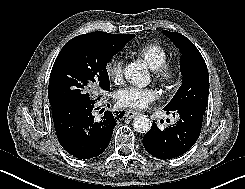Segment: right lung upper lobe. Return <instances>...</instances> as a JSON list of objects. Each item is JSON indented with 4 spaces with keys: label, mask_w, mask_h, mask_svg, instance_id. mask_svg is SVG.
Instances as JSON below:
<instances>
[{
    "label": "right lung upper lobe",
    "mask_w": 245,
    "mask_h": 189,
    "mask_svg": "<svg viewBox=\"0 0 245 189\" xmlns=\"http://www.w3.org/2000/svg\"><path fill=\"white\" fill-rule=\"evenodd\" d=\"M83 35L98 39L108 45L115 47H124L125 44L134 37V34H110L101 31Z\"/></svg>",
    "instance_id": "1"
}]
</instances>
